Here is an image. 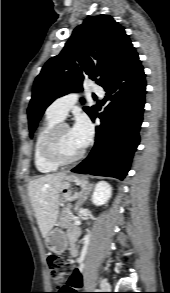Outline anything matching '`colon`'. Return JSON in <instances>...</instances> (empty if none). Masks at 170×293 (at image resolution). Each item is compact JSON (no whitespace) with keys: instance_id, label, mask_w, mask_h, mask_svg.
<instances>
[{"instance_id":"1","label":"colon","mask_w":170,"mask_h":293,"mask_svg":"<svg viewBox=\"0 0 170 293\" xmlns=\"http://www.w3.org/2000/svg\"><path fill=\"white\" fill-rule=\"evenodd\" d=\"M48 264L51 270V279L55 285V290L51 293H72L71 281L70 286L66 283V278L70 274L67 263L58 256H49Z\"/></svg>"}]
</instances>
